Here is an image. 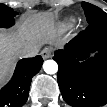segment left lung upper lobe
Wrapping results in <instances>:
<instances>
[{
    "mask_svg": "<svg viewBox=\"0 0 107 107\" xmlns=\"http://www.w3.org/2000/svg\"><path fill=\"white\" fill-rule=\"evenodd\" d=\"M82 7L84 9L87 22L89 24L98 21L99 19L107 18V13L101 10L99 7L94 6L90 3L83 2Z\"/></svg>",
    "mask_w": 107,
    "mask_h": 107,
    "instance_id": "1",
    "label": "left lung upper lobe"
}]
</instances>
